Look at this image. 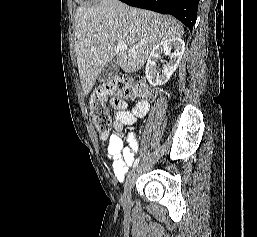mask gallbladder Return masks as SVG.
<instances>
[{
  "label": "gallbladder",
  "instance_id": "obj_1",
  "mask_svg": "<svg viewBox=\"0 0 257 237\" xmlns=\"http://www.w3.org/2000/svg\"><path fill=\"white\" fill-rule=\"evenodd\" d=\"M118 71L119 65L117 64L116 60H112L103 67L98 76V81L100 83H105L113 78L118 73Z\"/></svg>",
  "mask_w": 257,
  "mask_h": 237
}]
</instances>
